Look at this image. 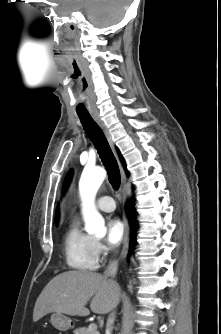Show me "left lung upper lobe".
<instances>
[{
    "label": "left lung upper lobe",
    "mask_w": 221,
    "mask_h": 334,
    "mask_svg": "<svg viewBox=\"0 0 221 334\" xmlns=\"http://www.w3.org/2000/svg\"><path fill=\"white\" fill-rule=\"evenodd\" d=\"M70 178H71V173L68 174L67 178H66V181H65V184H64V188H66V186L68 185L69 181H70Z\"/></svg>",
    "instance_id": "left-lung-upper-lobe-1"
}]
</instances>
